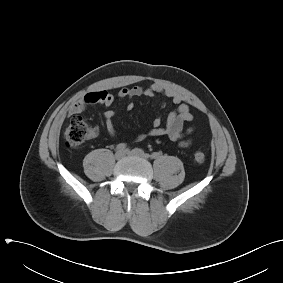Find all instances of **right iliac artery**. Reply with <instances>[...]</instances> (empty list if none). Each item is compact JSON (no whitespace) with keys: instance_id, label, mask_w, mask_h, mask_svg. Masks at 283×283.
<instances>
[{"instance_id":"obj_1","label":"right iliac artery","mask_w":283,"mask_h":283,"mask_svg":"<svg viewBox=\"0 0 283 283\" xmlns=\"http://www.w3.org/2000/svg\"><path fill=\"white\" fill-rule=\"evenodd\" d=\"M126 147H127V145H126L125 143H120V144H118V145L116 146V149H117L118 151H123V150L126 149Z\"/></svg>"}]
</instances>
